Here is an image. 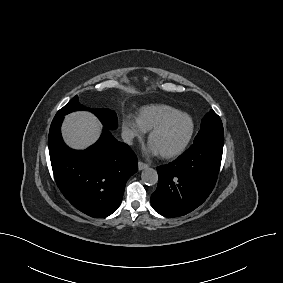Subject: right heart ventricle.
Instances as JSON below:
<instances>
[{"instance_id": "right-heart-ventricle-1", "label": "right heart ventricle", "mask_w": 283, "mask_h": 283, "mask_svg": "<svg viewBox=\"0 0 283 283\" xmlns=\"http://www.w3.org/2000/svg\"><path fill=\"white\" fill-rule=\"evenodd\" d=\"M177 111L176 108L168 105L151 104L142 107L137 118L145 131H148L162 118Z\"/></svg>"}]
</instances>
